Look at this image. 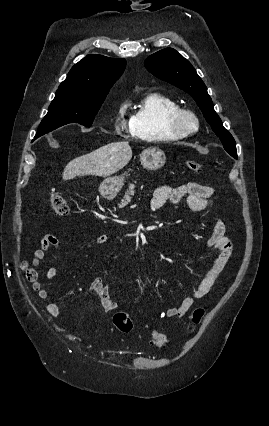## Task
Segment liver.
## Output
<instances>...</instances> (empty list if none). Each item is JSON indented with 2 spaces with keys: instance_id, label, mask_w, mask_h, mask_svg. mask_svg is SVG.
<instances>
[{
  "instance_id": "obj_1",
  "label": "liver",
  "mask_w": 269,
  "mask_h": 426,
  "mask_svg": "<svg viewBox=\"0 0 269 426\" xmlns=\"http://www.w3.org/2000/svg\"><path fill=\"white\" fill-rule=\"evenodd\" d=\"M132 158L128 142L120 141L104 145L95 151L71 160L64 168L62 178L95 175L107 177L122 169Z\"/></svg>"
}]
</instances>
